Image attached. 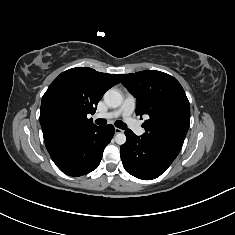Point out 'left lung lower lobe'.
Returning a JSON list of instances; mask_svg holds the SVG:
<instances>
[{"label": "left lung lower lobe", "instance_id": "1", "mask_svg": "<svg viewBox=\"0 0 235 235\" xmlns=\"http://www.w3.org/2000/svg\"><path fill=\"white\" fill-rule=\"evenodd\" d=\"M127 141L120 147L122 163L134 177L151 180L160 176L179 154L178 149L126 130Z\"/></svg>", "mask_w": 235, "mask_h": 235}]
</instances>
